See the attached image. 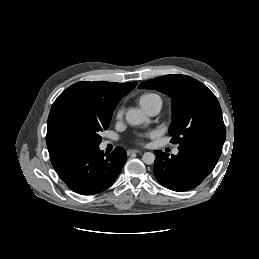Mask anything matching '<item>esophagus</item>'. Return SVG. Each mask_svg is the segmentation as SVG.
Segmentation results:
<instances>
[{"instance_id":"34e87169","label":"esophagus","mask_w":259,"mask_h":259,"mask_svg":"<svg viewBox=\"0 0 259 259\" xmlns=\"http://www.w3.org/2000/svg\"><path fill=\"white\" fill-rule=\"evenodd\" d=\"M138 153H141V151H139V150H128L127 151L128 156L133 155V154H138Z\"/></svg>"}]
</instances>
